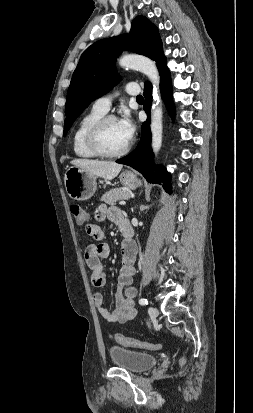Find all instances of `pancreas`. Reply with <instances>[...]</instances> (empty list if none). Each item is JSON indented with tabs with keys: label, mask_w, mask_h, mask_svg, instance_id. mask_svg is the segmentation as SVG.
<instances>
[{
	"label": "pancreas",
	"mask_w": 253,
	"mask_h": 413,
	"mask_svg": "<svg viewBox=\"0 0 253 413\" xmlns=\"http://www.w3.org/2000/svg\"><path fill=\"white\" fill-rule=\"evenodd\" d=\"M130 194L123 188H114L106 192L101 200L109 205H114L118 200L127 199Z\"/></svg>",
	"instance_id": "1"
}]
</instances>
